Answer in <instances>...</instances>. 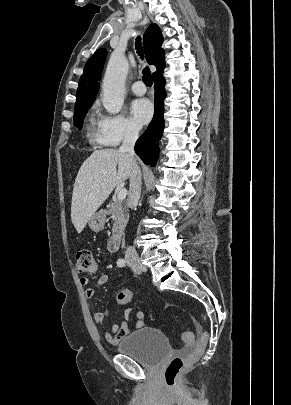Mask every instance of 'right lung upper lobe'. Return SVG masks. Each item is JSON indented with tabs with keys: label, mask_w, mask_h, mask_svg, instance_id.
I'll list each match as a JSON object with an SVG mask.
<instances>
[{
	"label": "right lung upper lobe",
	"mask_w": 291,
	"mask_h": 405,
	"mask_svg": "<svg viewBox=\"0 0 291 405\" xmlns=\"http://www.w3.org/2000/svg\"><path fill=\"white\" fill-rule=\"evenodd\" d=\"M162 43L163 36L160 28L156 24H151L143 36V45L147 62L157 68V71L153 73V77L162 74L165 67V54L161 48ZM106 56V49H98L87 61L84 73L80 77L74 112L92 106L99 90V80Z\"/></svg>",
	"instance_id": "1"
}]
</instances>
